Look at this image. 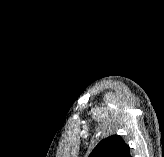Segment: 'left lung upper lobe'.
<instances>
[{
  "label": "left lung upper lobe",
  "instance_id": "obj_1",
  "mask_svg": "<svg viewBox=\"0 0 164 157\" xmlns=\"http://www.w3.org/2000/svg\"><path fill=\"white\" fill-rule=\"evenodd\" d=\"M129 146L118 135L100 141L89 157H129Z\"/></svg>",
  "mask_w": 164,
  "mask_h": 157
}]
</instances>
